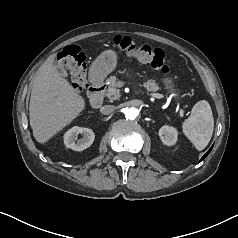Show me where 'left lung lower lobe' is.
I'll return each mask as SVG.
<instances>
[{
	"mask_svg": "<svg viewBox=\"0 0 238 238\" xmlns=\"http://www.w3.org/2000/svg\"><path fill=\"white\" fill-rule=\"evenodd\" d=\"M213 147V146H212ZM212 147L210 148V150L202 157V159L200 161H202L204 158L207 157V155L210 153V151L212 150Z\"/></svg>",
	"mask_w": 238,
	"mask_h": 238,
	"instance_id": "left-lung-lower-lobe-1",
	"label": "left lung lower lobe"
}]
</instances>
